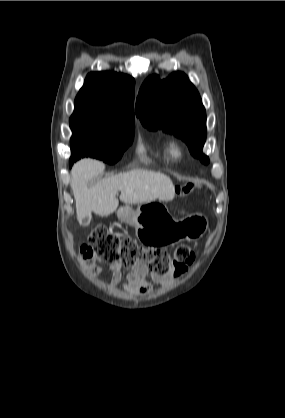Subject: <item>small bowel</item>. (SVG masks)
<instances>
[{
	"instance_id": "c3829d8e",
	"label": "small bowel",
	"mask_w": 285,
	"mask_h": 418,
	"mask_svg": "<svg viewBox=\"0 0 285 418\" xmlns=\"http://www.w3.org/2000/svg\"><path fill=\"white\" fill-rule=\"evenodd\" d=\"M86 269L88 270L91 277H96L105 271H110V284L112 286H116L125 280V283L131 292H147L149 289L150 281L155 283L170 281L169 279H163L156 275L150 274L147 265L144 263H137L132 266L125 276L123 274L122 265L120 263H113L108 267H104L93 261L86 265Z\"/></svg>"
}]
</instances>
